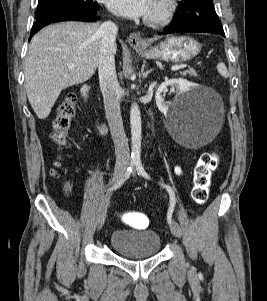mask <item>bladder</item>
<instances>
[{
    "mask_svg": "<svg viewBox=\"0 0 267 301\" xmlns=\"http://www.w3.org/2000/svg\"><path fill=\"white\" fill-rule=\"evenodd\" d=\"M110 246L124 258H145L158 254L161 238L152 230L121 229L112 233Z\"/></svg>",
    "mask_w": 267,
    "mask_h": 301,
    "instance_id": "bladder-1",
    "label": "bladder"
}]
</instances>
